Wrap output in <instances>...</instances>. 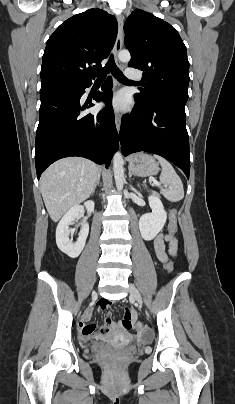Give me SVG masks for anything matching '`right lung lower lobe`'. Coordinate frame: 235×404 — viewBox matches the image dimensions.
<instances>
[{"mask_svg":"<svg viewBox=\"0 0 235 404\" xmlns=\"http://www.w3.org/2000/svg\"><path fill=\"white\" fill-rule=\"evenodd\" d=\"M91 81L67 83L65 87L40 94L39 125L36 132L35 165L38 179L42 172L60 158L80 156L95 163L110 164L118 149V133L111 108L110 78L94 98L106 101L97 114H85L94 104H80Z\"/></svg>","mask_w":235,"mask_h":404,"instance_id":"1","label":"right lung lower lobe"}]
</instances>
